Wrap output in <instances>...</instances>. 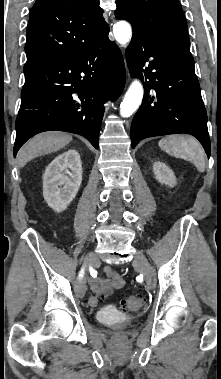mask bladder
Wrapping results in <instances>:
<instances>
[{"mask_svg": "<svg viewBox=\"0 0 221 379\" xmlns=\"http://www.w3.org/2000/svg\"><path fill=\"white\" fill-rule=\"evenodd\" d=\"M96 320L102 324L110 325L117 322L126 323L130 321V318L117 319L114 316H112L109 312L102 310L96 314Z\"/></svg>", "mask_w": 221, "mask_h": 379, "instance_id": "31cf9c89", "label": "bladder"}]
</instances>
